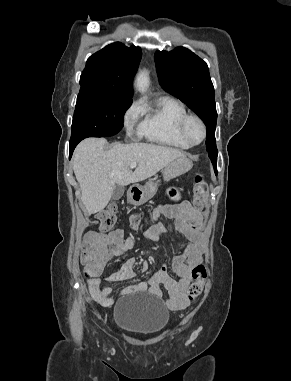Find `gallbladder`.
Returning a JSON list of instances; mask_svg holds the SVG:
<instances>
[{
	"label": "gallbladder",
	"mask_w": 291,
	"mask_h": 381,
	"mask_svg": "<svg viewBox=\"0 0 291 381\" xmlns=\"http://www.w3.org/2000/svg\"><path fill=\"white\" fill-rule=\"evenodd\" d=\"M123 194H124V187L121 185H116L112 193V199L118 200L123 196Z\"/></svg>",
	"instance_id": "obj_1"
}]
</instances>
